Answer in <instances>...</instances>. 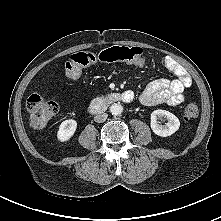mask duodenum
<instances>
[{"label": "duodenum", "instance_id": "duodenum-1", "mask_svg": "<svg viewBox=\"0 0 221 221\" xmlns=\"http://www.w3.org/2000/svg\"><path fill=\"white\" fill-rule=\"evenodd\" d=\"M132 94L130 92L125 93H112L106 97L96 99L91 102L89 109L93 113H102L107 107L114 102H130L132 100Z\"/></svg>", "mask_w": 221, "mask_h": 221}]
</instances>
